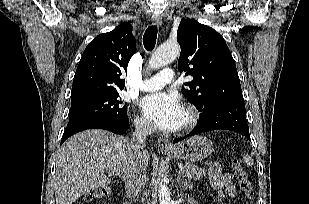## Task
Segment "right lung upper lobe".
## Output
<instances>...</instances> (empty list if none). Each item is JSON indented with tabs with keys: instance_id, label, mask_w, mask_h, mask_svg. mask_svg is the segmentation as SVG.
<instances>
[{
	"instance_id": "1",
	"label": "right lung upper lobe",
	"mask_w": 309,
	"mask_h": 204,
	"mask_svg": "<svg viewBox=\"0 0 309 204\" xmlns=\"http://www.w3.org/2000/svg\"><path fill=\"white\" fill-rule=\"evenodd\" d=\"M135 52L136 41L130 23H122L113 31L98 35L88 44L79 62L71 104L122 90L121 76Z\"/></svg>"
}]
</instances>
